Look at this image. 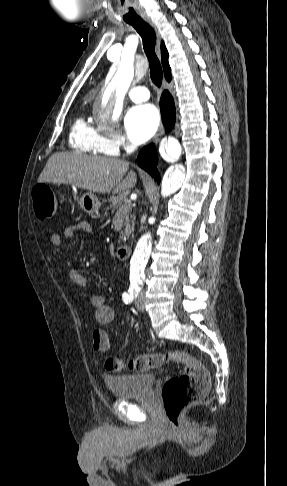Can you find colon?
Returning <instances> with one entry per match:
<instances>
[{"label": "colon", "mask_w": 287, "mask_h": 486, "mask_svg": "<svg viewBox=\"0 0 287 486\" xmlns=\"http://www.w3.org/2000/svg\"><path fill=\"white\" fill-rule=\"evenodd\" d=\"M32 198L38 218L50 219L56 214V196L47 184L34 186ZM93 347L100 352H106L109 349V339L104 331L95 330L93 332ZM169 362L180 363L183 366L179 374L166 379L161 390L165 415L171 423L176 425L181 411L200 399L209 387V374L195 357L181 351L142 354L129 360L109 357L105 361V368L112 372L125 370L144 372L159 368Z\"/></svg>", "instance_id": "colon-1"}]
</instances>
